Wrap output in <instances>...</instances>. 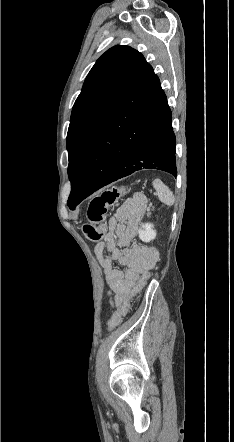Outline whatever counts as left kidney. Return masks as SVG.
<instances>
[{
  "label": "left kidney",
  "instance_id": "5707ae66",
  "mask_svg": "<svg viewBox=\"0 0 234 442\" xmlns=\"http://www.w3.org/2000/svg\"><path fill=\"white\" fill-rule=\"evenodd\" d=\"M138 233L143 242H150L156 237V231L153 229V224L150 223L142 224Z\"/></svg>",
  "mask_w": 234,
  "mask_h": 442
}]
</instances>
